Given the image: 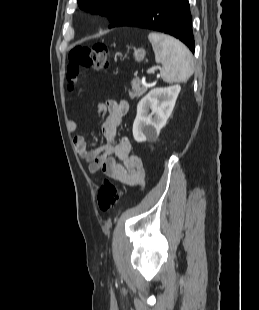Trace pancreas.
<instances>
[{"label":"pancreas","mask_w":259,"mask_h":310,"mask_svg":"<svg viewBox=\"0 0 259 310\" xmlns=\"http://www.w3.org/2000/svg\"><path fill=\"white\" fill-rule=\"evenodd\" d=\"M131 85L132 91H129V96L131 99L139 98L147 91V86L141 79H133Z\"/></svg>","instance_id":"1"}]
</instances>
